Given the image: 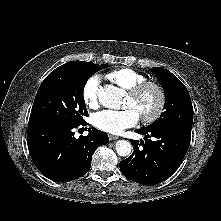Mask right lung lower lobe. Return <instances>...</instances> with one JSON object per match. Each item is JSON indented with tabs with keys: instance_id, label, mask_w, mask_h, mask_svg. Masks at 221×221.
<instances>
[{
	"instance_id": "98d812e1",
	"label": "right lung lower lobe",
	"mask_w": 221,
	"mask_h": 221,
	"mask_svg": "<svg viewBox=\"0 0 221 221\" xmlns=\"http://www.w3.org/2000/svg\"><path fill=\"white\" fill-rule=\"evenodd\" d=\"M52 125L28 129V148L38 170L56 182L85 175L95 149L109 142L108 135L92 128L87 136L74 137V128L85 125Z\"/></svg>"
}]
</instances>
